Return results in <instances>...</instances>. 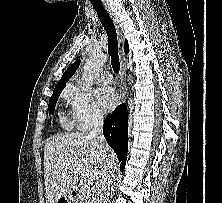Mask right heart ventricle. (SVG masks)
I'll return each mask as SVG.
<instances>
[{
	"mask_svg": "<svg viewBox=\"0 0 222 203\" xmlns=\"http://www.w3.org/2000/svg\"><path fill=\"white\" fill-rule=\"evenodd\" d=\"M61 119H62V122H63L65 125H69V122H68L66 116L64 115V113H62Z\"/></svg>",
	"mask_w": 222,
	"mask_h": 203,
	"instance_id": "1",
	"label": "right heart ventricle"
}]
</instances>
